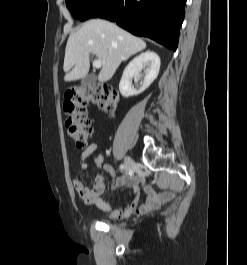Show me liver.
Wrapping results in <instances>:
<instances>
[{
    "instance_id": "6515ba94",
    "label": "liver",
    "mask_w": 247,
    "mask_h": 265,
    "mask_svg": "<svg viewBox=\"0 0 247 265\" xmlns=\"http://www.w3.org/2000/svg\"><path fill=\"white\" fill-rule=\"evenodd\" d=\"M145 48L146 43L142 39L117 25L101 19L89 20L68 38L63 65L66 72L64 81L84 78L89 72V55L94 54L102 62L98 80L107 82L122 61Z\"/></svg>"
}]
</instances>
